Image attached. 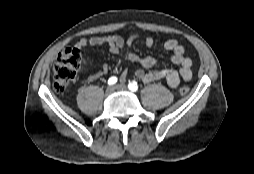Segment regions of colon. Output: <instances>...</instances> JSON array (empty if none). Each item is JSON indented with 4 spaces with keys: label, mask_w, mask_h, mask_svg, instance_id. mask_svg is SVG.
Returning a JSON list of instances; mask_svg holds the SVG:
<instances>
[{
    "label": "colon",
    "mask_w": 254,
    "mask_h": 174,
    "mask_svg": "<svg viewBox=\"0 0 254 174\" xmlns=\"http://www.w3.org/2000/svg\"><path fill=\"white\" fill-rule=\"evenodd\" d=\"M80 62V51L77 48H67L58 55L53 68V88L56 92H63L75 79ZM179 91L186 95L189 88L182 86Z\"/></svg>",
    "instance_id": "1"
}]
</instances>
